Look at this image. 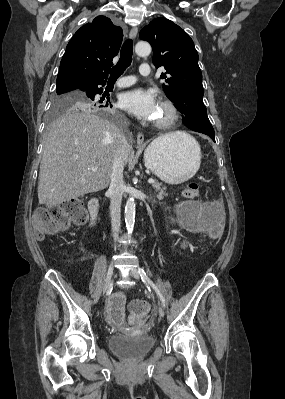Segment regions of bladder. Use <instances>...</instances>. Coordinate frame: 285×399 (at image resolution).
<instances>
[{"mask_svg":"<svg viewBox=\"0 0 285 399\" xmlns=\"http://www.w3.org/2000/svg\"><path fill=\"white\" fill-rule=\"evenodd\" d=\"M192 203L183 201L178 209L184 212ZM155 345V339L148 334L136 336L115 334L109 339V348L117 356L126 360H136L150 353Z\"/></svg>","mask_w":285,"mask_h":399,"instance_id":"obj_1","label":"bladder"}]
</instances>
